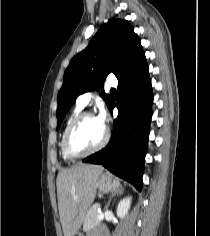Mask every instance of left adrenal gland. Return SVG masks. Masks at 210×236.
Listing matches in <instances>:
<instances>
[{"mask_svg": "<svg viewBox=\"0 0 210 236\" xmlns=\"http://www.w3.org/2000/svg\"><path fill=\"white\" fill-rule=\"evenodd\" d=\"M123 191H124L123 187H119L117 190H115V191L112 193V196H111V197H113V196H115V195H121V194H123ZM110 202H111V199L108 201V203H107V205H106V208H108V206L110 205Z\"/></svg>", "mask_w": 210, "mask_h": 236, "instance_id": "a2214340", "label": "left adrenal gland"}]
</instances>
